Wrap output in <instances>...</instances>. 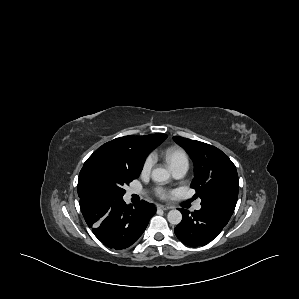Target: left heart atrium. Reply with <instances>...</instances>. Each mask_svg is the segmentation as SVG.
<instances>
[{
	"label": "left heart atrium",
	"mask_w": 299,
	"mask_h": 299,
	"mask_svg": "<svg viewBox=\"0 0 299 299\" xmlns=\"http://www.w3.org/2000/svg\"><path fill=\"white\" fill-rule=\"evenodd\" d=\"M158 194L161 196V197H165L167 195V192L163 189H158Z\"/></svg>",
	"instance_id": "obj_1"
}]
</instances>
